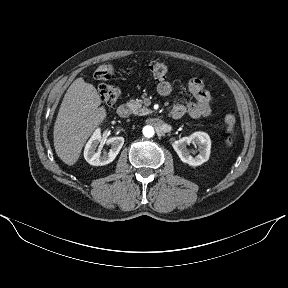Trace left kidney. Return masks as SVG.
Returning a JSON list of instances; mask_svg holds the SVG:
<instances>
[{"mask_svg":"<svg viewBox=\"0 0 288 288\" xmlns=\"http://www.w3.org/2000/svg\"><path fill=\"white\" fill-rule=\"evenodd\" d=\"M191 143L198 146L199 154L195 157L191 156L190 151L186 147ZM172 146L182 162L191 166H199L209 159L211 140L207 133L195 132L188 137L175 141Z\"/></svg>","mask_w":288,"mask_h":288,"instance_id":"5707ae66","label":"left kidney"}]
</instances>
